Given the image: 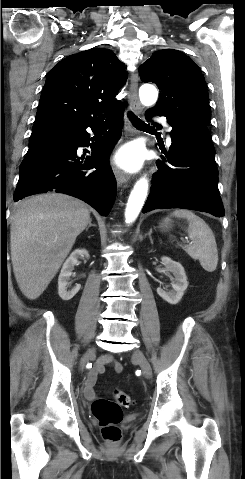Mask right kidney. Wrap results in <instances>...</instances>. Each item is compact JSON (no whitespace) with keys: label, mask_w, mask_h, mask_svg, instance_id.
Returning <instances> with one entry per match:
<instances>
[{"label":"right kidney","mask_w":245,"mask_h":479,"mask_svg":"<svg viewBox=\"0 0 245 479\" xmlns=\"http://www.w3.org/2000/svg\"><path fill=\"white\" fill-rule=\"evenodd\" d=\"M81 257L89 258L88 251L85 249L74 250L67 258L61 269L58 278V294L64 301L72 299L81 288L80 284H76V286L71 290H67L68 281L70 280L74 266L78 264V259Z\"/></svg>","instance_id":"right-kidney-1"}]
</instances>
